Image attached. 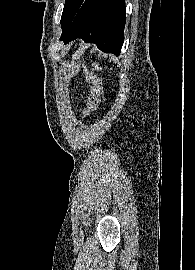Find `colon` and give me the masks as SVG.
<instances>
[{
  "instance_id": "obj_1",
  "label": "colon",
  "mask_w": 195,
  "mask_h": 270,
  "mask_svg": "<svg viewBox=\"0 0 195 270\" xmlns=\"http://www.w3.org/2000/svg\"><path fill=\"white\" fill-rule=\"evenodd\" d=\"M85 80L90 85V93L84 111V117H90L98 110L101 95H102V85L100 80L92 73L85 71L84 72Z\"/></svg>"
}]
</instances>
